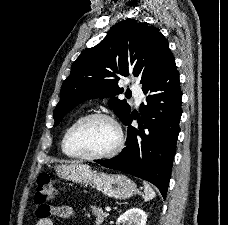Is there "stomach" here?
Returning <instances> with one entry per match:
<instances>
[{"instance_id":"obj_1","label":"stomach","mask_w":228,"mask_h":225,"mask_svg":"<svg viewBox=\"0 0 228 225\" xmlns=\"http://www.w3.org/2000/svg\"><path fill=\"white\" fill-rule=\"evenodd\" d=\"M56 171L58 177H62V179H70L80 185H91L106 197H113V199H130L138 193L135 183L125 175L96 173L83 163H72L68 167L59 165Z\"/></svg>"}]
</instances>
